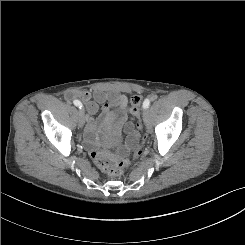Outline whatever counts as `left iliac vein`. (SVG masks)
I'll use <instances>...</instances> for the list:
<instances>
[{
    "label": "left iliac vein",
    "mask_w": 245,
    "mask_h": 245,
    "mask_svg": "<svg viewBox=\"0 0 245 245\" xmlns=\"http://www.w3.org/2000/svg\"><path fill=\"white\" fill-rule=\"evenodd\" d=\"M143 120L145 122L148 132H151V119L146 109L143 110Z\"/></svg>",
    "instance_id": "left-iliac-vein-1"
}]
</instances>
